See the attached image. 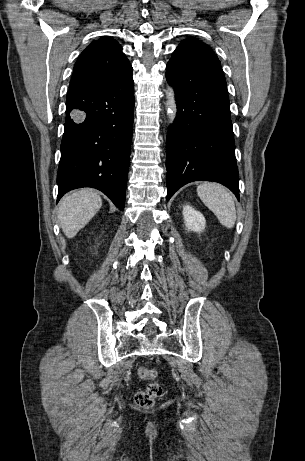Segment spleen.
Listing matches in <instances>:
<instances>
[{
  "label": "spleen",
  "instance_id": "obj_1",
  "mask_svg": "<svg viewBox=\"0 0 305 461\" xmlns=\"http://www.w3.org/2000/svg\"><path fill=\"white\" fill-rule=\"evenodd\" d=\"M202 202L215 214L226 228L236 222V208L232 194L221 184L203 183L197 187Z\"/></svg>",
  "mask_w": 305,
  "mask_h": 461
}]
</instances>
